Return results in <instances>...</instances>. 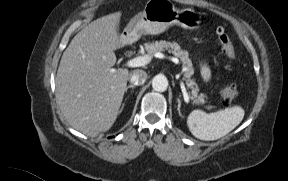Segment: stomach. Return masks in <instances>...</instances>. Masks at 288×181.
Returning a JSON list of instances; mask_svg holds the SVG:
<instances>
[{
    "label": "stomach",
    "mask_w": 288,
    "mask_h": 181,
    "mask_svg": "<svg viewBox=\"0 0 288 181\" xmlns=\"http://www.w3.org/2000/svg\"><path fill=\"white\" fill-rule=\"evenodd\" d=\"M200 23V17L191 9L179 11L169 0H149L143 11L131 19L125 35L131 34L135 39L142 34L156 35L173 25L193 30Z\"/></svg>",
    "instance_id": "1"
}]
</instances>
